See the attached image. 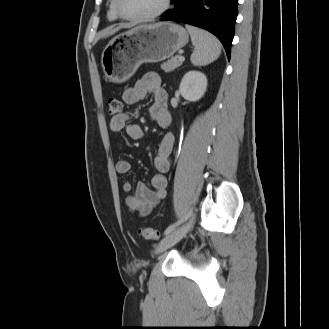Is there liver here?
I'll use <instances>...</instances> for the list:
<instances>
[{
    "label": "liver",
    "instance_id": "1",
    "mask_svg": "<svg viewBox=\"0 0 329 329\" xmlns=\"http://www.w3.org/2000/svg\"><path fill=\"white\" fill-rule=\"evenodd\" d=\"M124 27H128V26H126V25H120V26H118L116 28H113V27L107 28V29L103 30L100 33V36L103 37V38L104 37H108V36L116 33L117 31H119L121 28H124Z\"/></svg>",
    "mask_w": 329,
    "mask_h": 329
}]
</instances>
